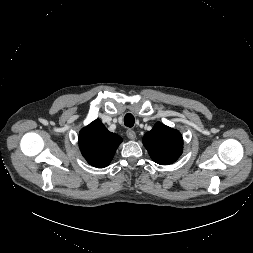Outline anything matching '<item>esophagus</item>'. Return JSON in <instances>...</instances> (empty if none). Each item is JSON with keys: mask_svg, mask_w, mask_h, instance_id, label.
<instances>
[{"mask_svg": "<svg viewBox=\"0 0 253 253\" xmlns=\"http://www.w3.org/2000/svg\"><path fill=\"white\" fill-rule=\"evenodd\" d=\"M126 135H127V137H128L129 139H131V140H134V139L136 138V133H135V131H133V130H131V129H128V130L126 131Z\"/></svg>", "mask_w": 253, "mask_h": 253, "instance_id": "obj_1", "label": "esophagus"}]
</instances>
